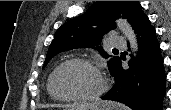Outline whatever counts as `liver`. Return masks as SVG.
Wrapping results in <instances>:
<instances>
[{"mask_svg": "<svg viewBox=\"0 0 171 110\" xmlns=\"http://www.w3.org/2000/svg\"><path fill=\"white\" fill-rule=\"evenodd\" d=\"M83 108H89L92 107V105H83L81 106ZM97 108H101L103 110H113L115 108H117L116 110H121L123 107L121 105H116L115 103L112 102H102V103H97Z\"/></svg>", "mask_w": 171, "mask_h": 110, "instance_id": "obj_1", "label": "liver"}]
</instances>
